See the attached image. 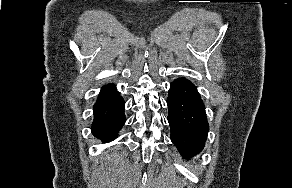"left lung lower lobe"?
Returning <instances> with one entry per match:
<instances>
[{
  "label": "left lung lower lobe",
  "instance_id": "0a47b994",
  "mask_svg": "<svg viewBox=\"0 0 292 188\" xmlns=\"http://www.w3.org/2000/svg\"><path fill=\"white\" fill-rule=\"evenodd\" d=\"M167 105L171 141L185 159H190L201 152L208 135L204 104L196 87L180 78L171 83Z\"/></svg>",
  "mask_w": 292,
  "mask_h": 188
}]
</instances>
